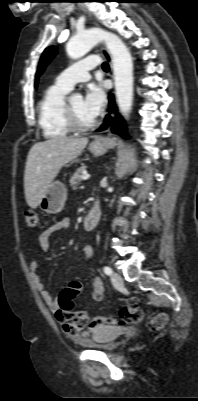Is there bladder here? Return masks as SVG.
<instances>
[{
	"label": "bladder",
	"mask_w": 198,
	"mask_h": 401,
	"mask_svg": "<svg viewBox=\"0 0 198 401\" xmlns=\"http://www.w3.org/2000/svg\"><path fill=\"white\" fill-rule=\"evenodd\" d=\"M122 331L118 326H104L93 339L85 342V346L93 350L114 352L118 348L116 339Z\"/></svg>",
	"instance_id": "bladder-1"
}]
</instances>
